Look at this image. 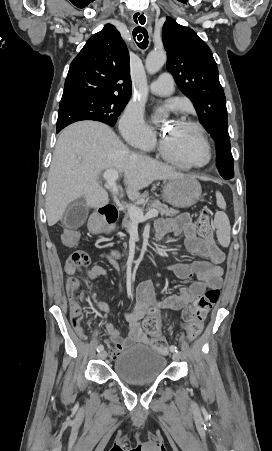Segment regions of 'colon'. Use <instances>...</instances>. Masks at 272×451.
Wrapping results in <instances>:
<instances>
[{"label":"colon","instance_id":"obj_1","mask_svg":"<svg viewBox=\"0 0 272 451\" xmlns=\"http://www.w3.org/2000/svg\"><path fill=\"white\" fill-rule=\"evenodd\" d=\"M210 212L206 209L200 213L197 219V226L200 228L201 237L204 240L203 247L208 250H214L216 244L211 239V225H210ZM63 239L66 244L67 250H77L79 248V237L78 231L74 228H68L63 234ZM90 263V257L87 252L84 251H74L69 254L67 260V267L73 270H78L79 268L86 267ZM220 297V292L217 289H210L203 295L199 296L195 303L187 307L183 311V317L187 322L188 334L191 336L197 335L202 328V321L207 312H209L212 307L218 302ZM73 315V326L78 332L80 337H84L82 328L80 325V314L77 310L72 311ZM152 346L155 351L159 354H167L169 341L164 338H154L152 341Z\"/></svg>","mask_w":272,"mask_h":451}]
</instances>
